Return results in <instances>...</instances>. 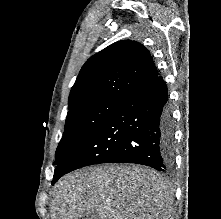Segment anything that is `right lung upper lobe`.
Instances as JSON below:
<instances>
[{
  "label": "right lung upper lobe",
  "instance_id": "obj_1",
  "mask_svg": "<svg viewBox=\"0 0 221 219\" xmlns=\"http://www.w3.org/2000/svg\"><path fill=\"white\" fill-rule=\"evenodd\" d=\"M157 76L143 45L131 40L116 42L85 62L71 89L68 108L103 98L122 100Z\"/></svg>",
  "mask_w": 221,
  "mask_h": 219
}]
</instances>
